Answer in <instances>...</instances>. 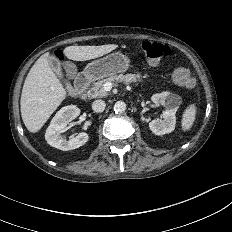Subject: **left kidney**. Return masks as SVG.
Masks as SVG:
<instances>
[{
  "label": "left kidney",
  "mask_w": 232,
  "mask_h": 232,
  "mask_svg": "<svg viewBox=\"0 0 232 232\" xmlns=\"http://www.w3.org/2000/svg\"><path fill=\"white\" fill-rule=\"evenodd\" d=\"M151 100L157 105L165 106L166 110L162 115L163 120H153L149 123L150 130L155 135L171 133L175 129V114L181 103L180 97L170 92H162L154 94Z\"/></svg>",
  "instance_id": "5707ae66"
}]
</instances>
